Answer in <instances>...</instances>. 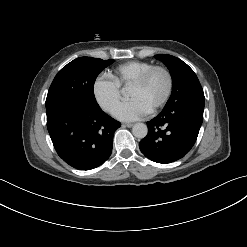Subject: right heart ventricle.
<instances>
[{"instance_id": "1", "label": "right heart ventricle", "mask_w": 247, "mask_h": 247, "mask_svg": "<svg viewBox=\"0 0 247 247\" xmlns=\"http://www.w3.org/2000/svg\"><path fill=\"white\" fill-rule=\"evenodd\" d=\"M153 64L146 61H128L116 66L110 73V77L121 87L130 85L143 72Z\"/></svg>"}]
</instances>
